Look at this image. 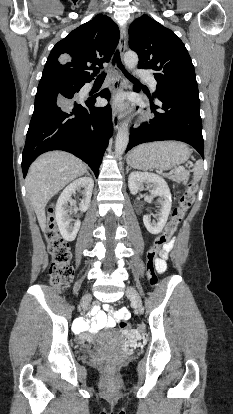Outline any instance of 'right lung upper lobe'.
Instances as JSON below:
<instances>
[{
	"mask_svg": "<svg viewBox=\"0 0 233 414\" xmlns=\"http://www.w3.org/2000/svg\"><path fill=\"white\" fill-rule=\"evenodd\" d=\"M117 25L106 15H96L59 41L50 52L42 79L90 82L109 62L119 41ZM98 66V67H97ZM89 70H93L90 74Z\"/></svg>",
	"mask_w": 233,
	"mask_h": 414,
	"instance_id": "cb5924a9",
	"label": "right lung upper lobe"
}]
</instances>
